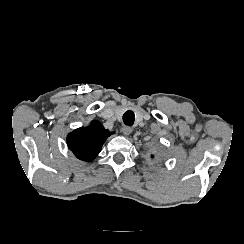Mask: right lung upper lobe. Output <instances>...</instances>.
<instances>
[{"label": "right lung upper lobe", "instance_id": "obj_1", "mask_svg": "<svg viewBox=\"0 0 244 244\" xmlns=\"http://www.w3.org/2000/svg\"><path fill=\"white\" fill-rule=\"evenodd\" d=\"M111 134L101 123L93 120L90 126L78 128L68 134V148L77 158L89 162L99 154L103 143Z\"/></svg>", "mask_w": 244, "mask_h": 244}]
</instances>
